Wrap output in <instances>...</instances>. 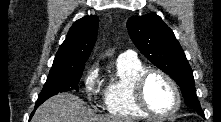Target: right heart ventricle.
Segmentation results:
<instances>
[{"label":"right heart ventricle","mask_w":221,"mask_h":122,"mask_svg":"<svg viewBox=\"0 0 221 122\" xmlns=\"http://www.w3.org/2000/svg\"><path fill=\"white\" fill-rule=\"evenodd\" d=\"M145 70L139 60L118 58L116 73L104 92L105 108L109 114L134 119L148 117L137 106L133 95L134 81Z\"/></svg>","instance_id":"1"}]
</instances>
